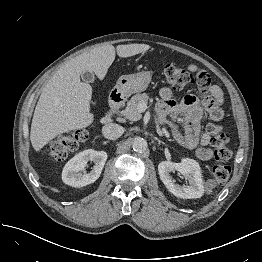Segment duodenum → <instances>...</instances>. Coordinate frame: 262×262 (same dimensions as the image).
I'll return each mask as SVG.
<instances>
[{
    "label": "duodenum",
    "mask_w": 262,
    "mask_h": 262,
    "mask_svg": "<svg viewBox=\"0 0 262 262\" xmlns=\"http://www.w3.org/2000/svg\"><path fill=\"white\" fill-rule=\"evenodd\" d=\"M124 103V94L119 90H114L109 98V111L105 117L109 119L111 114L119 110Z\"/></svg>",
    "instance_id": "1"
}]
</instances>
